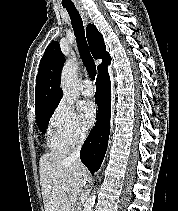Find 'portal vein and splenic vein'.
<instances>
[{"label":"portal vein and splenic vein","mask_w":178,"mask_h":211,"mask_svg":"<svg viewBox=\"0 0 178 211\" xmlns=\"http://www.w3.org/2000/svg\"><path fill=\"white\" fill-rule=\"evenodd\" d=\"M63 191H67V187L66 186H62L61 187ZM70 201L74 204L77 202V196L75 194H70L69 195Z\"/></svg>","instance_id":"1"}]
</instances>
